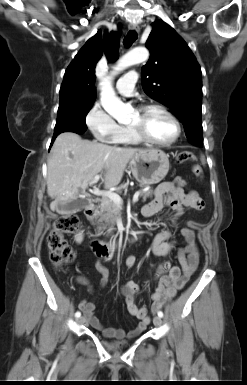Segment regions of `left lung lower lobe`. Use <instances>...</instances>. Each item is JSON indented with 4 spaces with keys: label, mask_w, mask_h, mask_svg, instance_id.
I'll return each mask as SVG.
<instances>
[{
    "label": "left lung lower lobe",
    "mask_w": 247,
    "mask_h": 385,
    "mask_svg": "<svg viewBox=\"0 0 247 385\" xmlns=\"http://www.w3.org/2000/svg\"><path fill=\"white\" fill-rule=\"evenodd\" d=\"M188 140L196 145H202L203 144V136L202 135H191L187 137Z\"/></svg>",
    "instance_id": "left-lung-lower-lobe-1"
}]
</instances>
